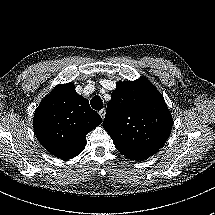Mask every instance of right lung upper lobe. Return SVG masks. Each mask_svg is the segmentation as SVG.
Masks as SVG:
<instances>
[{
    "label": "right lung upper lobe",
    "instance_id": "right-lung-upper-lobe-1",
    "mask_svg": "<svg viewBox=\"0 0 215 215\" xmlns=\"http://www.w3.org/2000/svg\"><path fill=\"white\" fill-rule=\"evenodd\" d=\"M102 122L78 95L73 83L57 85L39 104L33 126L38 141L54 156L63 160L80 154L86 146V135Z\"/></svg>",
    "mask_w": 215,
    "mask_h": 215
}]
</instances>
